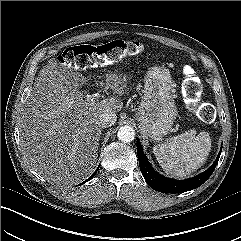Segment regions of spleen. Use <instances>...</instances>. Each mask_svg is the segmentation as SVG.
<instances>
[{
    "label": "spleen",
    "mask_w": 241,
    "mask_h": 241,
    "mask_svg": "<svg viewBox=\"0 0 241 241\" xmlns=\"http://www.w3.org/2000/svg\"><path fill=\"white\" fill-rule=\"evenodd\" d=\"M196 134L190 130L154 146L153 153L166 174L183 178L205 163L211 139L208 132Z\"/></svg>",
    "instance_id": "spleen-1"
}]
</instances>
